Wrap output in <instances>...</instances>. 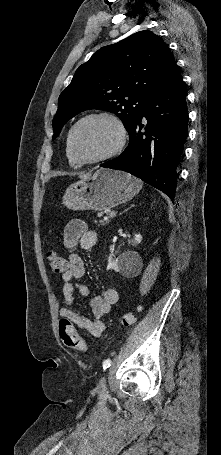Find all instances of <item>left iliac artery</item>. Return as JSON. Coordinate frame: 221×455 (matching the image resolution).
Returning a JSON list of instances; mask_svg holds the SVG:
<instances>
[{
    "label": "left iliac artery",
    "instance_id": "1",
    "mask_svg": "<svg viewBox=\"0 0 221 455\" xmlns=\"http://www.w3.org/2000/svg\"><path fill=\"white\" fill-rule=\"evenodd\" d=\"M110 365H111V360L110 359L104 360L103 365H102L103 366V370L108 369L110 367Z\"/></svg>",
    "mask_w": 221,
    "mask_h": 455
}]
</instances>
